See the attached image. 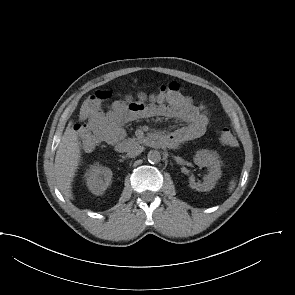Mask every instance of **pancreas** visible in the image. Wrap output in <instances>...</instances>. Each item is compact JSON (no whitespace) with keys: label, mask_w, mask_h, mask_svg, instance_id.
Instances as JSON below:
<instances>
[{"label":"pancreas","mask_w":295,"mask_h":295,"mask_svg":"<svg viewBox=\"0 0 295 295\" xmlns=\"http://www.w3.org/2000/svg\"><path fill=\"white\" fill-rule=\"evenodd\" d=\"M142 141L143 140L141 138H135V137H133V138H129L127 140V143L130 146H134V145H138V144L142 143Z\"/></svg>","instance_id":"obj_1"}]
</instances>
